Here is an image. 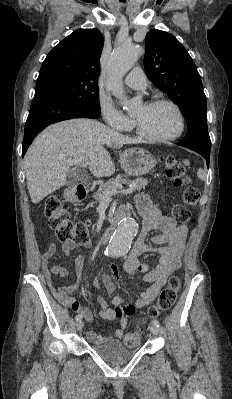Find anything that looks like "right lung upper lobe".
<instances>
[{
	"label": "right lung upper lobe",
	"instance_id": "right-lung-upper-lobe-1",
	"mask_svg": "<svg viewBox=\"0 0 232 399\" xmlns=\"http://www.w3.org/2000/svg\"><path fill=\"white\" fill-rule=\"evenodd\" d=\"M103 43V35L97 29L74 31L49 52L37 81L66 77L98 83Z\"/></svg>",
	"mask_w": 232,
	"mask_h": 399
}]
</instances>
